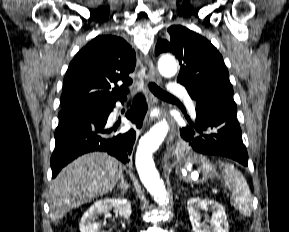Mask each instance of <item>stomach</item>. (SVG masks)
Returning <instances> with one entry per match:
<instances>
[{"label": "stomach", "mask_w": 289, "mask_h": 232, "mask_svg": "<svg viewBox=\"0 0 289 232\" xmlns=\"http://www.w3.org/2000/svg\"><path fill=\"white\" fill-rule=\"evenodd\" d=\"M193 163H199L200 164V168L198 170L199 172L202 173V180H200V181L207 180L208 178H211L216 173L215 167L213 165H211L205 159L193 160ZM180 177L185 181H188V182L191 181L190 176L180 175Z\"/></svg>", "instance_id": "stomach-1"}]
</instances>
